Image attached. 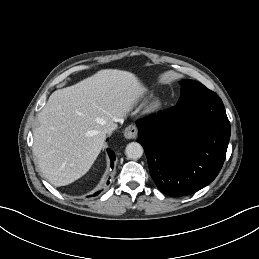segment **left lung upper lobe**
I'll use <instances>...</instances> for the list:
<instances>
[{
    "instance_id": "1",
    "label": "left lung upper lobe",
    "mask_w": 259,
    "mask_h": 259,
    "mask_svg": "<svg viewBox=\"0 0 259 259\" xmlns=\"http://www.w3.org/2000/svg\"><path fill=\"white\" fill-rule=\"evenodd\" d=\"M180 84L182 86L181 97L176 106H179L194 99L209 98L217 95L216 93L205 87L203 84L194 80H182Z\"/></svg>"
}]
</instances>
